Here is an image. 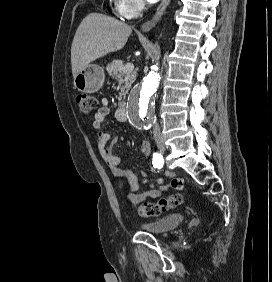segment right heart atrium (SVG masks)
<instances>
[{"label":"right heart atrium","instance_id":"1","mask_svg":"<svg viewBox=\"0 0 272 282\" xmlns=\"http://www.w3.org/2000/svg\"><path fill=\"white\" fill-rule=\"evenodd\" d=\"M144 0H116L115 11L117 15L126 20L138 17L144 10Z\"/></svg>","mask_w":272,"mask_h":282}]
</instances>
